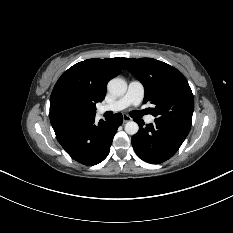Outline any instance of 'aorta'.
<instances>
[{"label":"aorta","mask_w":233,"mask_h":233,"mask_svg":"<svg viewBox=\"0 0 233 233\" xmlns=\"http://www.w3.org/2000/svg\"><path fill=\"white\" fill-rule=\"evenodd\" d=\"M108 91L115 96H122L127 91V83L121 78H113L107 84ZM139 126L134 121H129L125 124V132L129 135H134L138 132Z\"/></svg>","instance_id":"762f6f07"}]
</instances>
